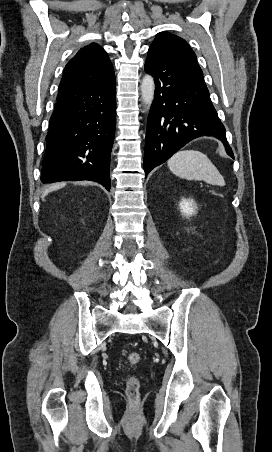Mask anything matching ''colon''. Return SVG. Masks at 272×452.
<instances>
[{"label": "colon", "instance_id": "1", "mask_svg": "<svg viewBox=\"0 0 272 452\" xmlns=\"http://www.w3.org/2000/svg\"><path fill=\"white\" fill-rule=\"evenodd\" d=\"M141 356L137 352H131L127 355V364L136 365L140 362ZM126 395L132 404H136L140 398V381L137 377H130L127 381Z\"/></svg>", "mask_w": 272, "mask_h": 452}]
</instances>
